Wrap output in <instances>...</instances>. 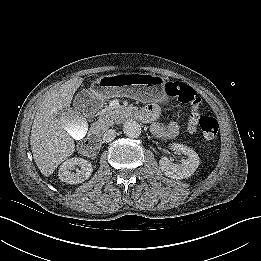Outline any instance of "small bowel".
Instances as JSON below:
<instances>
[{
	"instance_id": "small-bowel-1",
	"label": "small bowel",
	"mask_w": 261,
	"mask_h": 261,
	"mask_svg": "<svg viewBox=\"0 0 261 261\" xmlns=\"http://www.w3.org/2000/svg\"><path fill=\"white\" fill-rule=\"evenodd\" d=\"M159 111L157 104H149L141 111L140 115L143 119L150 120L157 117ZM179 130V125L174 121L169 122L167 125L158 122H154L151 125V132L161 139H173L178 135Z\"/></svg>"
}]
</instances>
